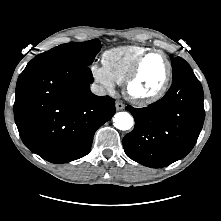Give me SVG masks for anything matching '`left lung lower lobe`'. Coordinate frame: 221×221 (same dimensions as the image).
Segmentation results:
<instances>
[{
    "label": "left lung lower lobe",
    "mask_w": 221,
    "mask_h": 221,
    "mask_svg": "<svg viewBox=\"0 0 221 221\" xmlns=\"http://www.w3.org/2000/svg\"><path fill=\"white\" fill-rule=\"evenodd\" d=\"M203 89L195 75L175 82L159 101L145 108L127 106L135 119L123 138L126 155L151 168L185 157L194 147L205 118Z\"/></svg>",
    "instance_id": "obj_1"
}]
</instances>
